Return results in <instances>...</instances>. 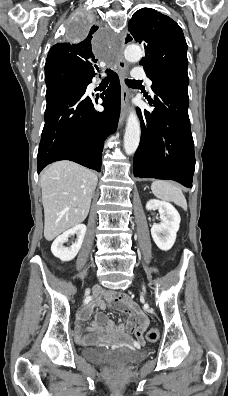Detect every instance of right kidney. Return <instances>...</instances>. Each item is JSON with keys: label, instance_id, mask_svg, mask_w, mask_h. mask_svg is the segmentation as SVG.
I'll return each mask as SVG.
<instances>
[{"label": "right kidney", "instance_id": "1", "mask_svg": "<svg viewBox=\"0 0 228 396\" xmlns=\"http://www.w3.org/2000/svg\"><path fill=\"white\" fill-rule=\"evenodd\" d=\"M86 229L84 224H79L58 236L52 243V254L64 262L73 260L82 246ZM74 235L77 236L75 243L70 247H65L64 243L68 241L69 237Z\"/></svg>", "mask_w": 228, "mask_h": 396}]
</instances>
